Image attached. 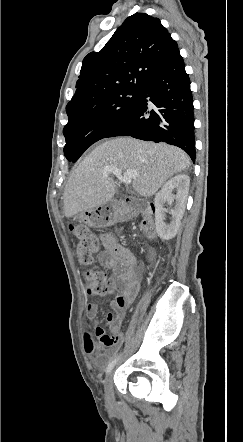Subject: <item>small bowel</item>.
Listing matches in <instances>:
<instances>
[{
	"label": "small bowel",
	"instance_id": "small-bowel-1",
	"mask_svg": "<svg viewBox=\"0 0 243 442\" xmlns=\"http://www.w3.org/2000/svg\"><path fill=\"white\" fill-rule=\"evenodd\" d=\"M103 251L99 254V261L106 267L111 268L113 276L109 280L112 290L118 295L111 302L114 313L109 312L105 316L106 327L113 333L109 335L106 327L95 326L94 337L84 331V349L92 357L95 367L103 369L109 362L112 351L111 347L117 345L121 336L119 333L121 324L126 316L128 307L136 299L141 285L140 266L135 255L126 247L119 244L115 238L107 233L100 234ZM98 308L95 303H88L85 308V316L94 321L97 317Z\"/></svg>",
	"mask_w": 243,
	"mask_h": 442
}]
</instances>
